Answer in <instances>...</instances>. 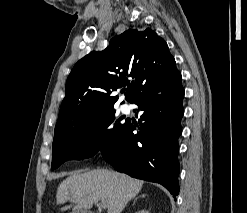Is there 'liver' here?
I'll return each instance as SVG.
<instances>
[{"label": "liver", "mask_w": 247, "mask_h": 213, "mask_svg": "<svg viewBox=\"0 0 247 213\" xmlns=\"http://www.w3.org/2000/svg\"><path fill=\"white\" fill-rule=\"evenodd\" d=\"M143 181L106 169L76 173L63 180L57 189L56 202L68 201L75 208L90 209L98 201L106 203L107 213H121L141 190Z\"/></svg>", "instance_id": "6515ba94"}]
</instances>
